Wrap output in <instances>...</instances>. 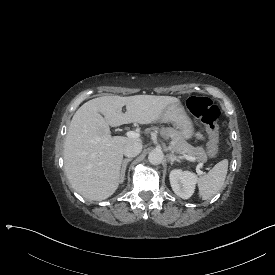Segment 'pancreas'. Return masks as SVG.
Instances as JSON below:
<instances>
[{
	"mask_svg": "<svg viewBox=\"0 0 275 275\" xmlns=\"http://www.w3.org/2000/svg\"><path fill=\"white\" fill-rule=\"evenodd\" d=\"M151 131L158 132L163 137H170L172 144L171 149L173 152L186 153L193 158V161H198L205 163L207 161V156L204 148L194 147L188 143L183 135L173 127H158L150 126L145 129V133H150Z\"/></svg>",
	"mask_w": 275,
	"mask_h": 275,
	"instance_id": "cf45deb5",
	"label": "pancreas"
}]
</instances>
